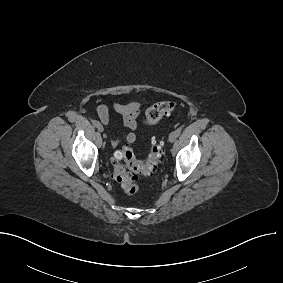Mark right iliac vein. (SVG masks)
<instances>
[{"label": "right iliac vein", "instance_id": "right-iliac-vein-1", "mask_svg": "<svg viewBox=\"0 0 283 283\" xmlns=\"http://www.w3.org/2000/svg\"><path fill=\"white\" fill-rule=\"evenodd\" d=\"M97 128H98L99 132H103L104 131V128H103V126L101 124Z\"/></svg>", "mask_w": 283, "mask_h": 283}]
</instances>
